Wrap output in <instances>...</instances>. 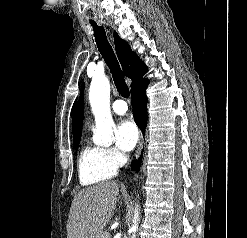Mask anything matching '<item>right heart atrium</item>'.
<instances>
[{"label":"right heart atrium","instance_id":"obj_1","mask_svg":"<svg viewBox=\"0 0 247 238\" xmlns=\"http://www.w3.org/2000/svg\"><path fill=\"white\" fill-rule=\"evenodd\" d=\"M105 155L108 161L115 167H119L122 165L124 158L122 154H120L115 148L109 147L104 149Z\"/></svg>","mask_w":247,"mask_h":238}]
</instances>
